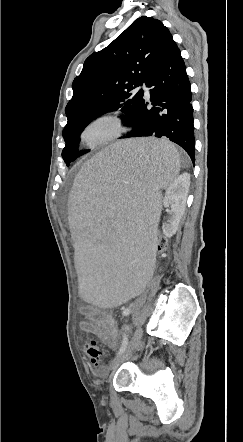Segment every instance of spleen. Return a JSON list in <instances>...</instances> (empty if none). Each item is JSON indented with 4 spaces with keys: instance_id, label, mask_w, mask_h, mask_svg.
<instances>
[{
    "instance_id": "3e777b00",
    "label": "spleen",
    "mask_w": 243,
    "mask_h": 442,
    "mask_svg": "<svg viewBox=\"0 0 243 442\" xmlns=\"http://www.w3.org/2000/svg\"><path fill=\"white\" fill-rule=\"evenodd\" d=\"M181 159L167 140L130 139L101 147L69 194L72 256L81 301L124 307L148 291L154 273L161 187L168 189ZM113 192V193H110Z\"/></svg>"
}]
</instances>
